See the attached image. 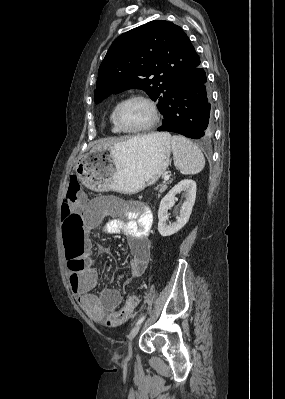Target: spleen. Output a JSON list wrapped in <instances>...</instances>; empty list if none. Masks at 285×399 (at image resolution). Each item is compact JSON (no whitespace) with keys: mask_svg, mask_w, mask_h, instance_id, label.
<instances>
[{"mask_svg":"<svg viewBox=\"0 0 285 399\" xmlns=\"http://www.w3.org/2000/svg\"><path fill=\"white\" fill-rule=\"evenodd\" d=\"M174 165L184 175L201 172L205 166V158L201 150L192 141L181 135L171 137Z\"/></svg>","mask_w":285,"mask_h":399,"instance_id":"3e777b00","label":"spleen"}]
</instances>
